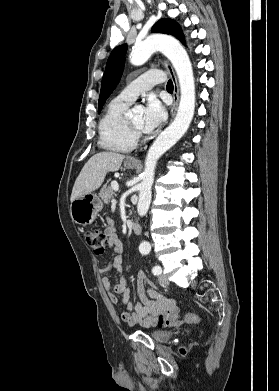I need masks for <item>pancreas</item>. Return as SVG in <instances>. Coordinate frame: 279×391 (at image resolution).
Instances as JSON below:
<instances>
[{
	"instance_id": "pancreas-1",
	"label": "pancreas",
	"mask_w": 279,
	"mask_h": 391,
	"mask_svg": "<svg viewBox=\"0 0 279 391\" xmlns=\"http://www.w3.org/2000/svg\"><path fill=\"white\" fill-rule=\"evenodd\" d=\"M113 194H114V191H113L112 187H110L109 185L105 184L101 188L99 196L101 197L103 202L108 205L109 202L111 201V199L113 198Z\"/></svg>"
}]
</instances>
